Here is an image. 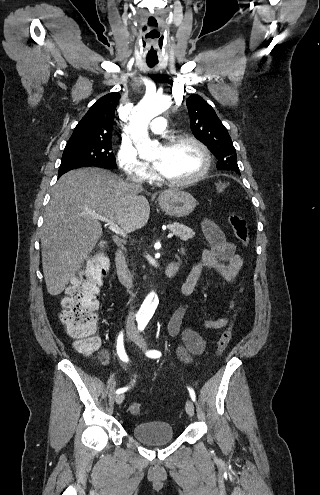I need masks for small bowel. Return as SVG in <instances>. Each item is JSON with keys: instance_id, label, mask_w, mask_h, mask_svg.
Instances as JSON below:
<instances>
[{"instance_id": "c3829d8e", "label": "small bowel", "mask_w": 320, "mask_h": 495, "mask_svg": "<svg viewBox=\"0 0 320 495\" xmlns=\"http://www.w3.org/2000/svg\"><path fill=\"white\" fill-rule=\"evenodd\" d=\"M203 231L209 243V249L202 254L200 262L191 269L186 281L182 285V293L189 298L195 290L199 277L204 269H210L229 283H234L238 273L243 268L244 260L236 252V246L229 241L222 229L212 220L203 222ZM236 294L229 301L230 309L235 307ZM188 304L180 305L167 323V332L170 336L180 334L184 346H178L176 354L184 363H190L194 356L202 354L206 349V340L198 331L185 324ZM230 324L229 317L205 319L201 325L208 330L222 329Z\"/></svg>"}]
</instances>
